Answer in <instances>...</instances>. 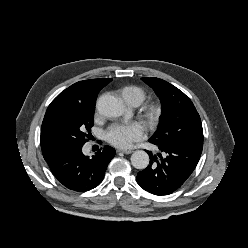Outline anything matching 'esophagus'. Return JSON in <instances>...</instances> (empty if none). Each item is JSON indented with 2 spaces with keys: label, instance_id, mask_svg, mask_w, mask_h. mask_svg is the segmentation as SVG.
<instances>
[{
  "label": "esophagus",
  "instance_id": "esophagus-1",
  "mask_svg": "<svg viewBox=\"0 0 248 248\" xmlns=\"http://www.w3.org/2000/svg\"><path fill=\"white\" fill-rule=\"evenodd\" d=\"M118 151L124 154H131L133 152L131 149H119Z\"/></svg>",
  "mask_w": 248,
  "mask_h": 248
}]
</instances>
